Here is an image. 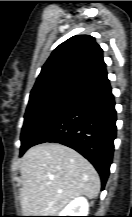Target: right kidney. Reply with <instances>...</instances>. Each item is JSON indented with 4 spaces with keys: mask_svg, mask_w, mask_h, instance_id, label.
<instances>
[{
    "mask_svg": "<svg viewBox=\"0 0 132 217\" xmlns=\"http://www.w3.org/2000/svg\"><path fill=\"white\" fill-rule=\"evenodd\" d=\"M89 204L84 197H78L71 201L59 214V216H87Z\"/></svg>",
    "mask_w": 132,
    "mask_h": 217,
    "instance_id": "1",
    "label": "right kidney"
}]
</instances>
